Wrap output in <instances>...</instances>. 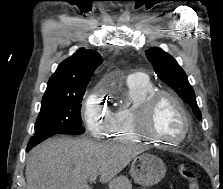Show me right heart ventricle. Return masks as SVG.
I'll return each mask as SVG.
<instances>
[{
    "label": "right heart ventricle",
    "mask_w": 223,
    "mask_h": 189,
    "mask_svg": "<svg viewBox=\"0 0 223 189\" xmlns=\"http://www.w3.org/2000/svg\"><path fill=\"white\" fill-rule=\"evenodd\" d=\"M127 88V101L111 112L106 136L121 142H138L140 138L134 129L133 113L140 102L155 91V88L149 80L143 83H128Z\"/></svg>",
    "instance_id": "1"
}]
</instances>
